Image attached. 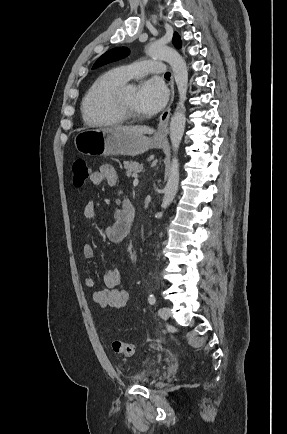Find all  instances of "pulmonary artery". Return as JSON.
<instances>
[{"instance_id":"e3ab8cb5","label":"pulmonary artery","mask_w":287,"mask_h":434,"mask_svg":"<svg viewBox=\"0 0 287 434\" xmlns=\"http://www.w3.org/2000/svg\"><path fill=\"white\" fill-rule=\"evenodd\" d=\"M123 79L143 77L148 74H163L164 64L157 61L140 60L118 68Z\"/></svg>"}]
</instances>
